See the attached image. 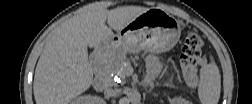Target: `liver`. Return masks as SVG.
Instances as JSON below:
<instances>
[{
	"mask_svg": "<svg viewBox=\"0 0 252 104\" xmlns=\"http://www.w3.org/2000/svg\"><path fill=\"white\" fill-rule=\"evenodd\" d=\"M149 8L105 9L100 3L84 8L56 28L38 60L33 83L38 104H68L88 90L93 70L88 47H99ZM107 22L108 26L105 24Z\"/></svg>",
	"mask_w": 252,
	"mask_h": 104,
	"instance_id": "obj_1",
	"label": "liver"
}]
</instances>
